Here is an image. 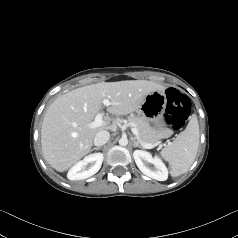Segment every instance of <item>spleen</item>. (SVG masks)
Returning a JSON list of instances; mask_svg holds the SVG:
<instances>
[{
	"label": "spleen",
	"instance_id": "obj_1",
	"mask_svg": "<svg viewBox=\"0 0 238 238\" xmlns=\"http://www.w3.org/2000/svg\"><path fill=\"white\" fill-rule=\"evenodd\" d=\"M198 145L199 125L196 115H192L186 129L160 152L161 157L170 165L171 176H180L191 167Z\"/></svg>",
	"mask_w": 238,
	"mask_h": 238
}]
</instances>
